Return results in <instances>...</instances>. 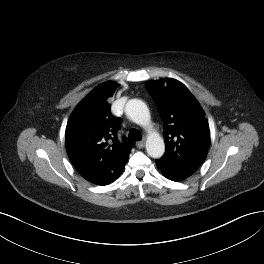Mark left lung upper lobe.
Listing matches in <instances>:
<instances>
[{"label":"left lung upper lobe","instance_id":"obj_1","mask_svg":"<svg viewBox=\"0 0 264 264\" xmlns=\"http://www.w3.org/2000/svg\"><path fill=\"white\" fill-rule=\"evenodd\" d=\"M146 88L164 123L166 150L161 160L196 170L205 161L210 145L209 125L200 104L174 79L149 81Z\"/></svg>","mask_w":264,"mask_h":264}]
</instances>
